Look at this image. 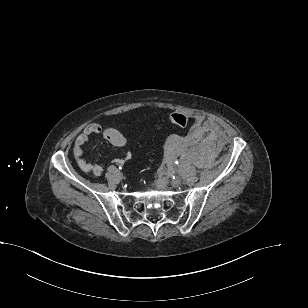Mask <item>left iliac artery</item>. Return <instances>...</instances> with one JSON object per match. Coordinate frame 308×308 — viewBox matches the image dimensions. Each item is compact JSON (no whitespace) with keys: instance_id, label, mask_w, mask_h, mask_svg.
Returning a JSON list of instances; mask_svg holds the SVG:
<instances>
[{"instance_id":"obj_1","label":"left iliac artery","mask_w":308,"mask_h":308,"mask_svg":"<svg viewBox=\"0 0 308 308\" xmlns=\"http://www.w3.org/2000/svg\"><path fill=\"white\" fill-rule=\"evenodd\" d=\"M175 163H176V164H178L179 162H178V161H176Z\"/></svg>"}]
</instances>
